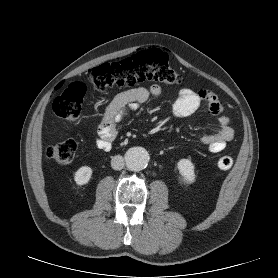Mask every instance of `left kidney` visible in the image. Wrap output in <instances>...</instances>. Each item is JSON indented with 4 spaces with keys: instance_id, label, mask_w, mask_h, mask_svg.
<instances>
[{
    "instance_id": "1",
    "label": "left kidney",
    "mask_w": 278,
    "mask_h": 278,
    "mask_svg": "<svg viewBox=\"0 0 278 278\" xmlns=\"http://www.w3.org/2000/svg\"><path fill=\"white\" fill-rule=\"evenodd\" d=\"M178 170L187 183L195 181L194 165L189 159H181L177 163Z\"/></svg>"
}]
</instances>
